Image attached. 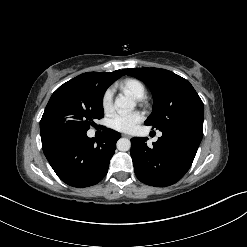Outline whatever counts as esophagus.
<instances>
[{
  "instance_id": "esophagus-1",
  "label": "esophagus",
  "mask_w": 247,
  "mask_h": 247,
  "mask_svg": "<svg viewBox=\"0 0 247 247\" xmlns=\"http://www.w3.org/2000/svg\"><path fill=\"white\" fill-rule=\"evenodd\" d=\"M122 136H123V137H126V138H131V136L128 135V134H122Z\"/></svg>"
}]
</instances>
